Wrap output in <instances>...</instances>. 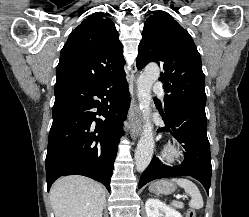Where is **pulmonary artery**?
Segmentation results:
<instances>
[{
    "label": "pulmonary artery",
    "mask_w": 249,
    "mask_h": 217,
    "mask_svg": "<svg viewBox=\"0 0 249 217\" xmlns=\"http://www.w3.org/2000/svg\"><path fill=\"white\" fill-rule=\"evenodd\" d=\"M152 92L156 95H162L163 94V88L160 83H155L152 87Z\"/></svg>",
    "instance_id": "obj_1"
}]
</instances>
